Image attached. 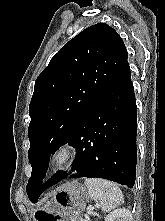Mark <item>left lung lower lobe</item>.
<instances>
[{"mask_svg": "<svg viewBox=\"0 0 165 221\" xmlns=\"http://www.w3.org/2000/svg\"><path fill=\"white\" fill-rule=\"evenodd\" d=\"M137 111L128 62L81 120L68 143L76 147L72 178L96 177L132 188L136 178ZM67 176L58 172L40 194Z\"/></svg>", "mask_w": 165, "mask_h": 221, "instance_id": "left-lung-lower-lobe-1", "label": "left lung lower lobe"}]
</instances>
